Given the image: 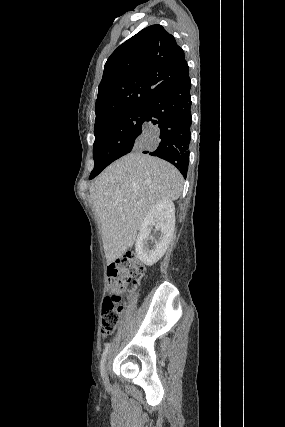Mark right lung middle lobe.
<instances>
[{"label": "right lung middle lobe", "instance_id": "1", "mask_svg": "<svg viewBox=\"0 0 285 427\" xmlns=\"http://www.w3.org/2000/svg\"><path fill=\"white\" fill-rule=\"evenodd\" d=\"M147 104L121 112L94 127V169L89 179L98 175L114 160L141 143Z\"/></svg>", "mask_w": 285, "mask_h": 427}]
</instances>
